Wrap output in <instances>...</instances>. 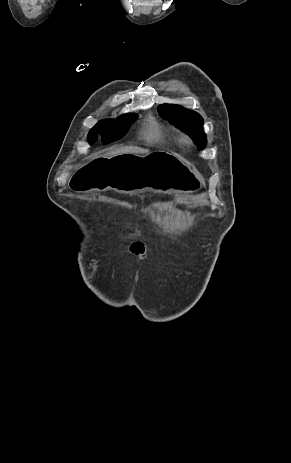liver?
Wrapping results in <instances>:
<instances>
[{
    "label": "liver",
    "instance_id": "obj_1",
    "mask_svg": "<svg viewBox=\"0 0 291 463\" xmlns=\"http://www.w3.org/2000/svg\"><path fill=\"white\" fill-rule=\"evenodd\" d=\"M149 152L148 149H143V148H140V147H135V146H126V147H121V148H118V149H115L107 154L104 155V158H112V157H115V156H119V155H122V154H129V153H132V154H147Z\"/></svg>",
    "mask_w": 291,
    "mask_h": 463
}]
</instances>
